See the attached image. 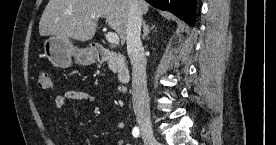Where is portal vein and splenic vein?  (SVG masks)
<instances>
[{"instance_id":"1","label":"portal vein and splenic vein","mask_w":276,"mask_h":145,"mask_svg":"<svg viewBox=\"0 0 276 145\" xmlns=\"http://www.w3.org/2000/svg\"><path fill=\"white\" fill-rule=\"evenodd\" d=\"M93 20H98L97 17L91 16ZM106 39L111 44H117L119 43V36L115 32H108L106 35Z\"/></svg>"}]
</instances>
